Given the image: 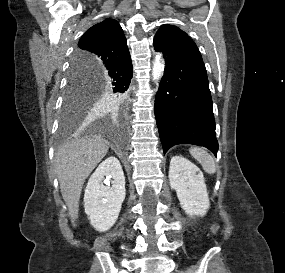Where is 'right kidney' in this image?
Listing matches in <instances>:
<instances>
[{
	"instance_id": "obj_1",
	"label": "right kidney",
	"mask_w": 285,
	"mask_h": 273,
	"mask_svg": "<svg viewBox=\"0 0 285 273\" xmlns=\"http://www.w3.org/2000/svg\"><path fill=\"white\" fill-rule=\"evenodd\" d=\"M109 179H112L111 186ZM125 195V177L120 162L113 156L108 157L90 177L84 194L85 213L97 231H107L115 224Z\"/></svg>"
}]
</instances>
